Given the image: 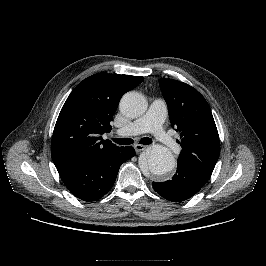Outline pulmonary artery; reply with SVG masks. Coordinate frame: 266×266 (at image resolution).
<instances>
[{
	"label": "pulmonary artery",
	"mask_w": 266,
	"mask_h": 266,
	"mask_svg": "<svg viewBox=\"0 0 266 266\" xmlns=\"http://www.w3.org/2000/svg\"><path fill=\"white\" fill-rule=\"evenodd\" d=\"M167 114L168 110L166 102L160 98L153 99L144 116L118 129L117 134L125 137H132L145 132H151L162 142L163 146L168 151L176 153L178 151V144L163 129V123Z\"/></svg>",
	"instance_id": "pulmonary-artery-1"
}]
</instances>
